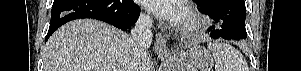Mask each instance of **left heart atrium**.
Returning a JSON list of instances; mask_svg holds the SVG:
<instances>
[{
  "label": "left heart atrium",
  "mask_w": 301,
  "mask_h": 71,
  "mask_svg": "<svg viewBox=\"0 0 301 71\" xmlns=\"http://www.w3.org/2000/svg\"><path fill=\"white\" fill-rule=\"evenodd\" d=\"M142 4L156 16L175 26H182L187 17V10L180 0H143Z\"/></svg>",
  "instance_id": "left-heart-atrium-1"
}]
</instances>
